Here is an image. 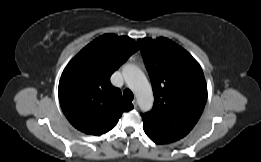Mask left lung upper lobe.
<instances>
[{
  "label": "left lung upper lobe",
  "instance_id": "obj_1",
  "mask_svg": "<svg viewBox=\"0 0 261 162\" xmlns=\"http://www.w3.org/2000/svg\"><path fill=\"white\" fill-rule=\"evenodd\" d=\"M154 94L143 126L170 141L185 137L199 120L207 100V85L199 63L173 41L139 39Z\"/></svg>",
  "mask_w": 261,
  "mask_h": 162
}]
</instances>
